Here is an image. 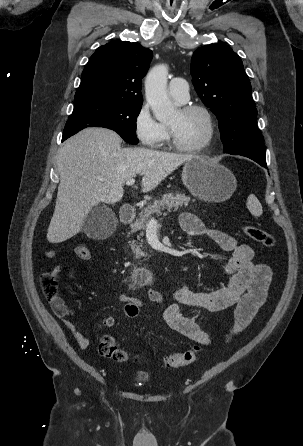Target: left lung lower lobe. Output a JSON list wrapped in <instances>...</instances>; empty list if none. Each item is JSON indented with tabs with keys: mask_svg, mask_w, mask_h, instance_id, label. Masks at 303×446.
<instances>
[{
	"mask_svg": "<svg viewBox=\"0 0 303 446\" xmlns=\"http://www.w3.org/2000/svg\"><path fill=\"white\" fill-rule=\"evenodd\" d=\"M246 157H248V158H250V159L256 161L257 163H259V164H260L261 166H263V167H267V165H266V160H262V159H260V158L253 157V156H246Z\"/></svg>",
	"mask_w": 303,
	"mask_h": 446,
	"instance_id": "obj_1",
	"label": "left lung lower lobe"
}]
</instances>
